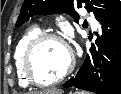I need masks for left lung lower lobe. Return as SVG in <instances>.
<instances>
[{"label":"left lung lower lobe","mask_w":121,"mask_h":94,"mask_svg":"<svg viewBox=\"0 0 121 94\" xmlns=\"http://www.w3.org/2000/svg\"><path fill=\"white\" fill-rule=\"evenodd\" d=\"M102 36L74 78L63 87H76L96 94H121V9L100 22Z\"/></svg>","instance_id":"0a47b994"}]
</instances>
